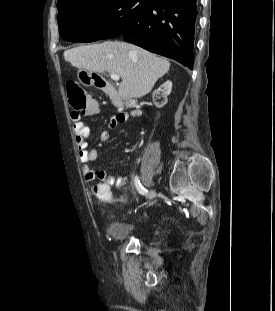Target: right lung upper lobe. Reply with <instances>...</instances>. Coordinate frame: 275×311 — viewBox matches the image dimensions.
Returning <instances> with one entry per match:
<instances>
[{
  "label": "right lung upper lobe",
  "mask_w": 275,
  "mask_h": 311,
  "mask_svg": "<svg viewBox=\"0 0 275 311\" xmlns=\"http://www.w3.org/2000/svg\"><path fill=\"white\" fill-rule=\"evenodd\" d=\"M67 1H71V0H57V6Z\"/></svg>",
  "instance_id": "obj_1"
}]
</instances>
